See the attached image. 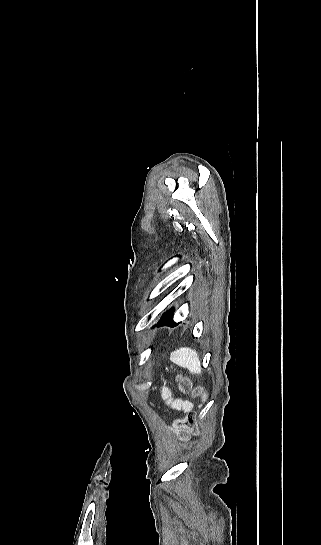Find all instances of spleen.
<instances>
[{"label":"spleen","mask_w":321,"mask_h":545,"mask_svg":"<svg viewBox=\"0 0 321 545\" xmlns=\"http://www.w3.org/2000/svg\"><path fill=\"white\" fill-rule=\"evenodd\" d=\"M170 361L176 363L179 367L188 369V371L194 373V375H200V373H202L201 361L198 357V353L197 351H194V349H189V347H181V349L173 351V353H171Z\"/></svg>","instance_id":"3e777b00"}]
</instances>
